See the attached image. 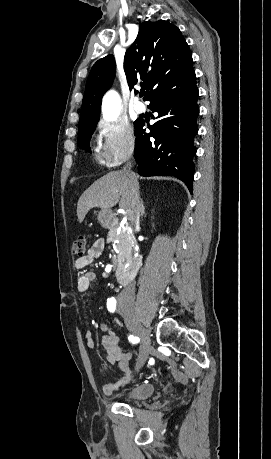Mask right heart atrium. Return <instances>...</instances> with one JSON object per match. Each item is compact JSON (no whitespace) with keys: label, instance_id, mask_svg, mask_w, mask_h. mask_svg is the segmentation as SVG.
<instances>
[{"label":"right heart atrium","instance_id":"right-heart-atrium-1","mask_svg":"<svg viewBox=\"0 0 271 459\" xmlns=\"http://www.w3.org/2000/svg\"><path fill=\"white\" fill-rule=\"evenodd\" d=\"M93 140L98 161L107 168L124 161L132 153L135 144L134 133L128 123H107L104 120L97 123Z\"/></svg>","mask_w":271,"mask_h":459}]
</instances>
